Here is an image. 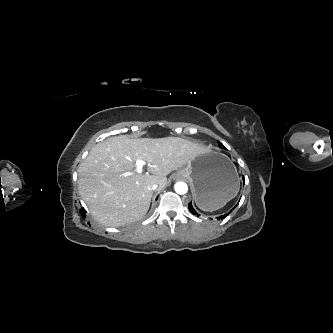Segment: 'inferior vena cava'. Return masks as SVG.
<instances>
[{
	"label": "inferior vena cava",
	"mask_w": 333,
	"mask_h": 333,
	"mask_svg": "<svg viewBox=\"0 0 333 333\" xmlns=\"http://www.w3.org/2000/svg\"><path fill=\"white\" fill-rule=\"evenodd\" d=\"M150 190H156L158 188V185L156 183H153L148 187Z\"/></svg>",
	"instance_id": "obj_1"
}]
</instances>
